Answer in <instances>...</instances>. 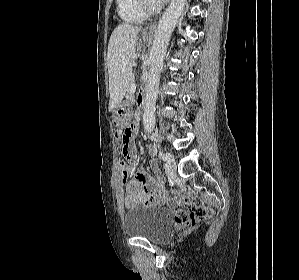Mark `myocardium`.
<instances>
[{"label": "myocardium", "mask_w": 299, "mask_h": 280, "mask_svg": "<svg viewBox=\"0 0 299 280\" xmlns=\"http://www.w3.org/2000/svg\"><path fill=\"white\" fill-rule=\"evenodd\" d=\"M139 8L145 15H155L157 14L161 6L160 4H156L154 6L150 5L147 0H137Z\"/></svg>", "instance_id": "myocardium-1"}]
</instances>
